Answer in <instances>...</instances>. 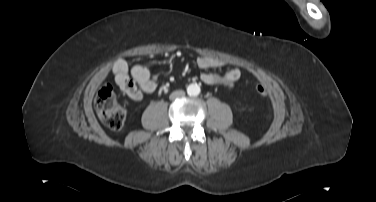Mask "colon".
Segmentation results:
<instances>
[{"label": "colon", "instance_id": "colon-1", "mask_svg": "<svg viewBox=\"0 0 376 202\" xmlns=\"http://www.w3.org/2000/svg\"><path fill=\"white\" fill-rule=\"evenodd\" d=\"M259 94H266V87L262 84L256 86ZM95 110L100 121L110 129L119 130L126 120V109L116 97L109 85L103 86L95 98Z\"/></svg>", "mask_w": 376, "mask_h": 202}]
</instances>
